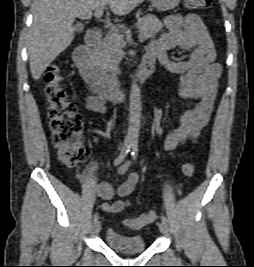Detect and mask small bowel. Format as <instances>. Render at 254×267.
I'll return each instance as SVG.
<instances>
[{
  "label": "small bowel",
  "mask_w": 254,
  "mask_h": 267,
  "mask_svg": "<svg viewBox=\"0 0 254 267\" xmlns=\"http://www.w3.org/2000/svg\"><path fill=\"white\" fill-rule=\"evenodd\" d=\"M167 32L153 41L146 56L158 60L166 70L179 77V94L183 98L196 99L197 103L191 110L183 112L177 126L166 136L165 149L173 150L187 140H195L202 129L208 124L217 92V80L221 75V65L215 62L216 50L209 32L201 18L196 14H173L165 19ZM180 47L191 52L187 61H173L167 52ZM90 93L85 97V108L96 113L107 111L106 100L97 96L90 84ZM153 123L158 134L163 133L162 112L155 111ZM130 163H124L118 168L119 174H124ZM96 164H91L88 172L81 176L82 181L92 184L96 194L105 201L114 196L112 186L107 182H96L93 174ZM139 181L135 172L129 174L127 180L118 188L120 197L129 196ZM129 206L125 199L114 202H104L100 208L107 213H121Z\"/></svg>",
  "instance_id": "c3829d8e"
}]
</instances>
